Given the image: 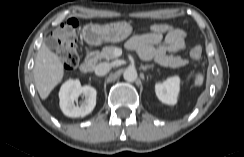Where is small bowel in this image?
I'll return each instance as SVG.
<instances>
[{
	"label": "small bowel",
	"mask_w": 244,
	"mask_h": 157,
	"mask_svg": "<svg viewBox=\"0 0 244 157\" xmlns=\"http://www.w3.org/2000/svg\"><path fill=\"white\" fill-rule=\"evenodd\" d=\"M186 32L180 28H170L165 33H146L133 36L127 43L144 60L160 59L166 53L185 49Z\"/></svg>",
	"instance_id": "1"
}]
</instances>
